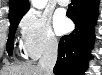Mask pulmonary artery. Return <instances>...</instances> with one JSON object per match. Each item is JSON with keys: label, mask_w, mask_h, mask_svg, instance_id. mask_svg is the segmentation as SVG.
Listing matches in <instances>:
<instances>
[{"label": "pulmonary artery", "mask_w": 102, "mask_h": 75, "mask_svg": "<svg viewBox=\"0 0 102 75\" xmlns=\"http://www.w3.org/2000/svg\"><path fill=\"white\" fill-rule=\"evenodd\" d=\"M59 3L65 4L67 1L66 0H58Z\"/></svg>", "instance_id": "1"}]
</instances>
